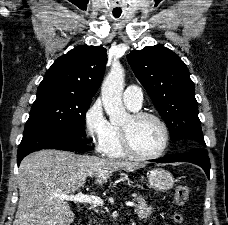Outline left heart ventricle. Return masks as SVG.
I'll return each instance as SVG.
<instances>
[{"instance_id": "obj_1", "label": "left heart ventricle", "mask_w": 228, "mask_h": 225, "mask_svg": "<svg viewBox=\"0 0 228 225\" xmlns=\"http://www.w3.org/2000/svg\"><path fill=\"white\" fill-rule=\"evenodd\" d=\"M123 127L130 132L133 144L140 153L153 155L161 150L165 135L156 120L146 118L136 122L131 116Z\"/></svg>"}]
</instances>
